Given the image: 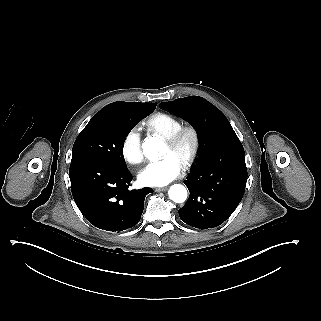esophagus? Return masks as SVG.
<instances>
[{
    "label": "esophagus",
    "instance_id": "obj_1",
    "mask_svg": "<svg viewBox=\"0 0 321 321\" xmlns=\"http://www.w3.org/2000/svg\"><path fill=\"white\" fill-rule=\"evenodd\" d=\"M166 190H167V187H160V188H156L155 192H163V191H166Z\"/></svg>",
    "mask_w": 321,
    "mask_h": 321
}]
</instances>
